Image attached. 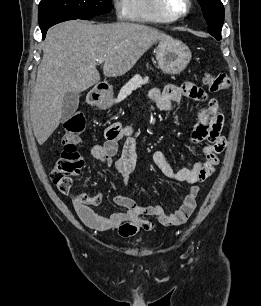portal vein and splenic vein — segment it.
Instances as JSON below:
<instances>
[{
	"mask_svg": "<svg viewBox=\"0 0 261 306\" xmlns=\"http://www.w3.org/2000/svg\"><path fill=\"white\" fill-rule=\"evenodd\" d=\"M97 63H98V64H102V63H104V58H100V59H98V60H97Z\"/></svg>",
	"mask_w": 261,
	"mask_h": 306,
	"instance_id": "obj_1",
	"label": "portal vein and splenic vein"
}]
</instances>
